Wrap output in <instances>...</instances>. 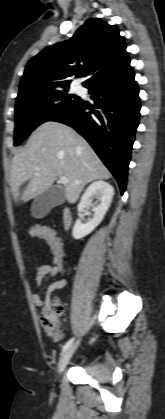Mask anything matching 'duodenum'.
Here are the masks:
<instances>
[{
  "label": "duodenum",
  "mask_w": 165,
  "mask_h": 419,
  "mask_svg": "<svg viewBox=\"0 0 165 419\" xmlns=\"http://www.w3.org/2000/svg\"><path fill=\"white\" fill-rule=\"evenodd\" d=\"M72 221V214L69 208H65L62 214V226L64 230H68Z\"/></svg>",
  "instance_id": "obj_1"
}]
</instances>
